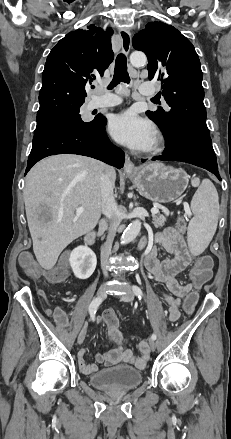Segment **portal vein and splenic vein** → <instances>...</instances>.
<instances>
[{"mask_svg":"<svg viewBox=\"0 0 231 439\" xmlns=\"http://www.w3.org/2000/svg\"><path fill=\"white\" fill-rule=\"evenodd\" d=\"M83 211H84V207H83V206H80V207H78V208L76 209V213H77V214H81ZM158 212H159V210H158V208H156V207H154V208L151 209V213H152L153 215L157 214Z\"/></svg>","mask_w":231,"mask_h":439,"instance_id":"portal-vein-and-splenic-vein-1","label":"portal vein and splenic vein"}]
</instances>
